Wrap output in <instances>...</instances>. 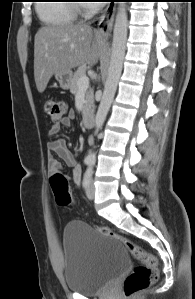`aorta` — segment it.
<instances>
[{
  "label": "aorta",
  "mask_w": 195,
  "mask_h": 299,
  "mask_svg": "<svg viewBox=\"0 0 195 299\" xmlns=\"http://www.w3.org/2000/svg\"><path fill=\"white\" fill-rule=\"evenodd\" d=\"M128 16L125 2H120L117 9L115 25L113 30L112 53L108 68V76L104 86V92L95 117V128L99 130L106 119L108 111L113 102L117 85L122 73L127 41ZM90 161L96 160L95 153L87 157Z\"/></svg>",
  "instance_id": "aorta-1"
}]
</instances>
